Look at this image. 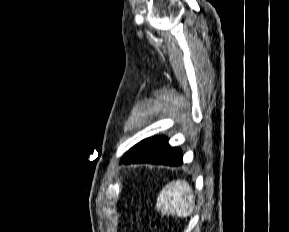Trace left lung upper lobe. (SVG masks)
<instances>
[{
    "label": "left lung upper lobe",
    "instance_id": "obj_1",
    "mask_svg": "<svg viewBox=\"0 0 289 232\" xmlns=\"http://www.w3.org/2000/svg\"><path fill=\"white\" fill-rule=\"evenodd\" d=\"M148 139H145L141 141L140 143L136 144L134 147H132L122 158L121 162L126 160L128 157H130L133 153H135L142 145H144L147 142Z\"/></svg>",
    "mask_w": 289,
    "mask_h": 232
}]
</instances>
